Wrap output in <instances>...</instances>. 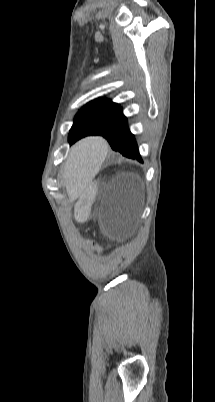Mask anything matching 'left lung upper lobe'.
Returning a JSON list of instances; mask_svg holds the SVG:
<instances>
[{"label":"left lung upper lobe","mask_w":215,"mask_h":402,"mask_svg":"<svg viewBox=\"0 0 215 402\" xmlns=\"http://www.w3.org/2000/svg\"><path fill=\"white\" fill-rule=\"evenodd\" d=\"M121 112V107L111 100L98 99L91 101L75 116L68 136L69 143L71 144L78 138L91 135L95 130L114 119Z\"/></svg>","instance_id":"5c2ea615"}]
</instances>
